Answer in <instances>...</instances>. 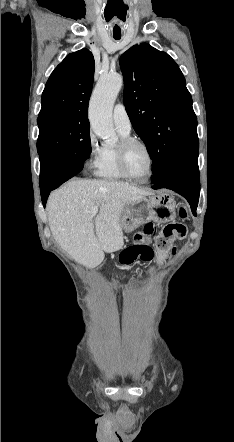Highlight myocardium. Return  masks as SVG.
I'll return each mask as SVG.
<instances>
[{"mask_svg": "<svg viewBox=\"0 0 234 442\" xmlns=\"http://www.w3.org/2000/svg\"><path fill=\"white\" fill-rule=\"evenodd\" d=\"M133 145L141 146L142 148H144V150L146 151V153L148 155L149 172H148L147 176L144 178H138V177L134 176L133 174H131V172L128 169L127 152L129 150V148ZM116 152H117L118 167L126 178L133 180L135 182H138V183H146L151 179V177L154 173V156H153V153H152L150 147L148 146V144H146L144 141H142L140 139L133 138V137H127V138L121 139L119 144L116 146Z\"/></svg>", "mask_w": 234, "mask_h": 442, "instance_id": "myocardium-1", "label": "myocardium"}]
</instances>
